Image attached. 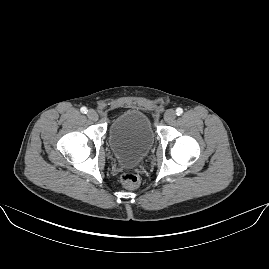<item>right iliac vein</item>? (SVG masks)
<instances>
[{"label":"right iliac vein","mask_w":269,"mask_h":269,"mask_svg":"<svg viewBox=\"0 0 269 269\" xmlns=\"http://www.w3.org/2000/svg\"><path fill=\"white\" fill-rule=\"evenodd\" d=\"M87 117L92 121H96L98 119V114L95 110H89L87 112Z\"/></svg>","instance_id":"obj_1"}]
</instances>
